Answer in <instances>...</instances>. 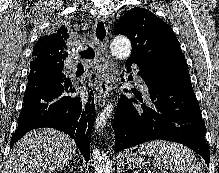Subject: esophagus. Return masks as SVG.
Masks as SVG:
<instances>
[{"label":"esophagus","instance_id":"1","mask_svg":"<svg viewBox=\"0 0 219 173\" xmlns=\"http://www.w3.org/2000/svg\"><path fill=\"white\" fill-rule=\"evenodd\" d=\"M93 39L100 53L99 75L96 81V90L98 92L99 103L104 105L109 92L112 90V80L115 76V66L108 53V27L104 18H98L95 21L93 29ZM103 54V57H101Z\"/></svg>","mask_w":219,"mask_h":173}]
</instances>
